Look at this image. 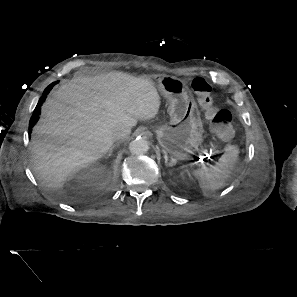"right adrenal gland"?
Returning a JSON list of instances; mask_svg holds the SVG:
<instances>
[{"label":"right adrenal gland","instance_id":"1","mask_svg":"<svg viewBox=\"0 0 297 297\" xmlns=\"http://www.w3.org/2000/svg\"><path fill=\"white\" fill-rule=\"evenodd\" d=\"M116 147V145H113L111 148H110V150H109V152H108V156H111L112 155V152H113V149Z\"/></svg>","mask_w":297,"mask_h":297}]
</instances>
